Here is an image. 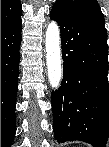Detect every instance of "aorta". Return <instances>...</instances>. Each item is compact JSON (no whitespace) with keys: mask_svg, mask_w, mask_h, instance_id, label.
<instances>
[{"mask_svg":"<svg viewBox=\"0 0 109 147\" xmlns=\"http://www.w3.org/2000/svg\"><path fill=\"white\" fill-rule=\"evenodd\" d=\"M46 62L48 68V78L53 89H57L62 78L60 31L55 21L48 24L46 30Z\"/></svg>","mask_w":109,"mask_h":147,"instance_id":"obj_1","label":"aorta"}]
</instances>
